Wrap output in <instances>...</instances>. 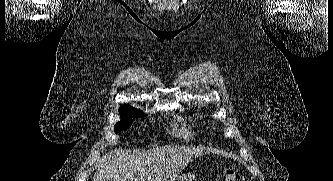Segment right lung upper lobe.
Returning a JSON list of instances; mask_svg holds the SVG:
<instances>
[{"instance_id": "right-lung-upper-lobe-1", "label": "right lung upper lobe", "mask_w": 333, "mask_h": 181, "mask_svg": "<svg viewBox=\"0 0 333 181\" xmlns=\"http://www.w3.org/2000/svg\"><path fill=\"white\" fill-rule=\"evenodd\" d=\"M130 110H137V109H135L134 107L129 106L127 104H124L123 106H121L119 108V113H122V112H125V111H130Z\"/></svg>"}]
</instances>
